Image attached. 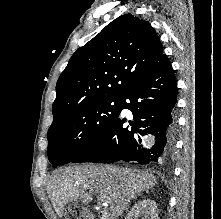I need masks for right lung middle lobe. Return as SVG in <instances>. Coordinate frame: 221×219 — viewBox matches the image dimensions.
I'll list each match as a JSON object with an SVG mask.
<instances>
[{
	"label": "right lung middle lobe",
	"mask_w": 221,
	"mask_h": 219,
	"mask_svg": "<svg viewBox=\"0 0 221 219\" xmlns=\"http://www.w3.org/2000/svg\"><path fill=\"white\" fill-rule=\"evenodd\" d=\"M121 103V99L93 101L54 121L47 133L50 163H69L91 148L117 118Z\"/></svg>",
	"instance_id": "1"
}]
</instances>
